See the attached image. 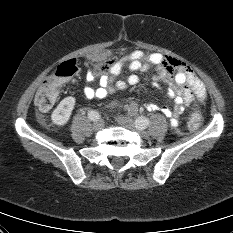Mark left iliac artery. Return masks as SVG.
I'll return each mask as SVG.
<instances>
[{
    "instance_id": "1",
    "label": "left iliac artery",
    "mask_w": 233,
    "mask_h": 233,
    "mask_svg": "<svg viewBox=\"0 0 233 233\" xmlns=\"http://www.w3.org/2000/svg\"><path fill=\"white\" fill-rule=\"evenodd\" d=\"M136 124L141 128H146L150 124V121H149V119H147L145 117H139L136 120Z\"/></svg>"
}]
</instances>
